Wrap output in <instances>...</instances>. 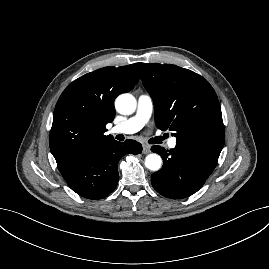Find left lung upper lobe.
I'll list each match as a JSON object with an SVG mask.
<instances>
[{"label": "left lung upper lobe", "mask_w": 269, "mask_h": 269, "mask_svg": "<svg viewBox=\"0 0 269 269\" xmlns=\"http://www.w3.org/2000/svg\"><path fill=\"white\" fill-rule=\"evenodd\" d=\"M141 80L154 102L156 126L177 141L224 145L221 108L212 86L199 74L170 64H144Z\"/></svg>", "instance_id": "5c2ea615"}]
</instances>
